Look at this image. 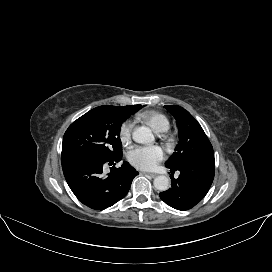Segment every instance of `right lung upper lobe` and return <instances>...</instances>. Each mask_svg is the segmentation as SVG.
<instances>
[{
  "label": "right lung upper lobe",
  "instance_id": "right-lung-upper-lobe-1",
  "mask_svg": "<svg viewBox=\"0 0 272 272\" xmlns=\"http://www.w3.org/2000/svg\"><path fill=\"white\" fill-rule=\"evenodd\" d=\"M123 108L127 110H137L139 105L123 106Z\"/></svg>",
  "mask_w": 272,
  "mask_h": 272
}]
</instances>
